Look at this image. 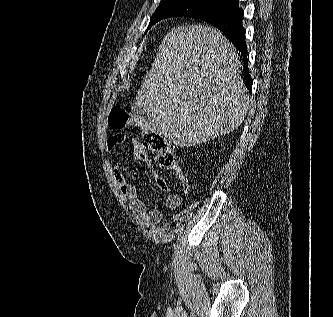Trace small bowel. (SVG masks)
I'll return each mask as SVG.
<instances>
[{
    "label": "small bowel",
    "instance_id": "small-bowel-1",
    "mask_svg": "<svg viewBox=\"0 0 333 317\" xmlns=\"http://www.w3.org/2000/svg\"><path fill=\"white\" fill-rule=\"evenodd\" d=\"M126 138L123 134L117 133L108 138L106 143L107 151L110 153L118 146L125 142ZM131 144L134 154L137 158L146 161L150 164L143 146L137 137L131 138ZM114 177L119 185L120 191L124 198L127 200L132 213L143 219L149 225L159 224L163 219V213L158 209H148L145 202L139 197L137 187L129 182L123 174L119 165L115 166ZM157 187L163 192H169L170 187L166 180L159 175L156 171L153 172ZM182 198L179 195L172 194L166 199V206L169 209H176L181 205Z\"/></svg>",
    "mask_w": 333,
    "mask_h": 317
}]
</instances>
